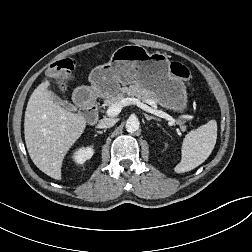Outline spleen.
<instances>
[{
  "instance_id": "1",
  "label": "spleen",
  "mask_w": 252,
  "mask_h": 252,
  "mask_svg": "<svg viewBox=\"0 0 252 252\" xmlns=\"http://www.w3.org/2000/svg\"><path fill=\"white\" fill-rule=\"evenodd\" d=\"M217 140V122L210 120L199 128L190 131L184 138L181 148V161L174 168L176 173L193 170L211 154Z\"/></svg>"
}]
</instances>
